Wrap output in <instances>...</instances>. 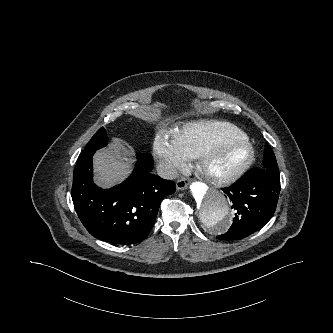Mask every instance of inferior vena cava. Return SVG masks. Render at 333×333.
Listing matches in <instances>:
<instances>
[{
  "instance_id": "obj_1",
  "label": "inferior vena cava",
  "mask_w": 333,
  "mask_h": 333,
  "mask_svg": "<svg viewBox=\"0 0 333 333\" xmlns=\"http://www.w3.org/2000/svg\"><path fill=\"white\" fill-rule=\"evenodd\" d=\"M157 174L164 179H176L178 172L172 164L160 163L157 167Z\"/></svg>"
}]
</instances>
